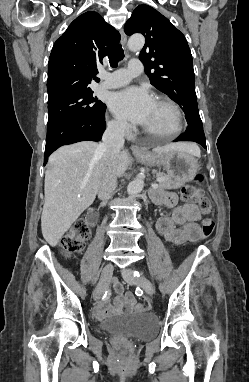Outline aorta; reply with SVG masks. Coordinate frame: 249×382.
Wrapping results in <instances>:
<instances>
[{"label":"aorta","instance_id":"aorta-1","mask_svg":"<svg viewBox=\"0 0 249 382\" xmlns=\"http://www.w3.org/2000/svg\"><path fill=\"white\" fill-rule=\"evenodd\" d=\"M145 39L142 35H133L128 41V47L131 51H139L144 45ZM144 188V177L138 175L127 187L129 195H135L141 192Z\"/></svg>","mask_w":249,"mask_h":382}]
</instances>
